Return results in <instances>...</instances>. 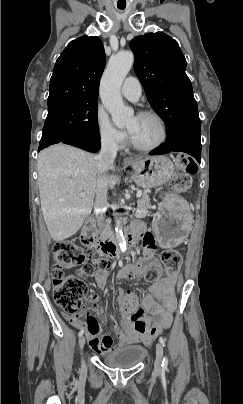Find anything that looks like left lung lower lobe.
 <instances>
[{
	"instance_id": "obj_1",
	"label": "left lung lower lobe",
	"mask_w": 243,
	"mask_h": 404,
	"mask_svg": "<svg viewBox=\"0 0 243 404\" xmlns=\"http://www.w3.org/2000/svg\"><path fill=\"white\" fill-rule=\"evenodd\" d=\"M201 124H181L173 128L164 144L150 152L151 155L166 154L171 151L185 152L199 163L201 159Z\"/></svg>"
}]
</instances>
